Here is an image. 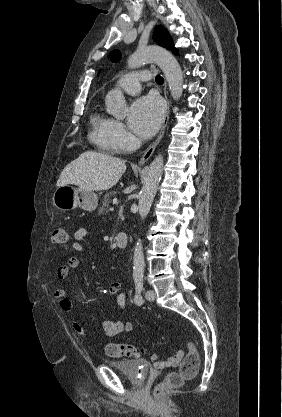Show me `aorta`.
<instances>
[{"mask_svg":"<svg viewBox=\"0 0 282 417\" xmlns=\"http://www.w3.org/2000/svg\"><path fill=\"white\" fill-rule=\"evenodd\" d=\"M154 60L162 68L165 78L168 82L171 96L178 100L183 92V74L181 66L175 56L162 48V46H146V48H137L134 54L129 56L127 62L130 68H138L145 62ZM105 102L108 112L115 118H124L127 104L125 96L120 88H112L105 96ZM163 174V156L158 154L152 160L144 178V184L139 192L138 211L141 221H145L150 206L157 192L160 178ZM145 269L144 249L141 239H138L133 251V279H143Z\"/></svg>","mask_w":282,"mask_h":417,"instance_id":"1","label":"aorta"}]
</instances>
